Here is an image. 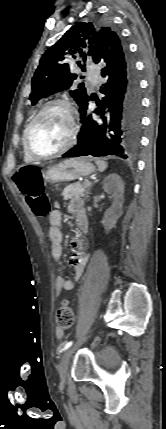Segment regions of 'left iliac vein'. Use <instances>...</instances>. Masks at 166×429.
<instances>
[{
    "instance_id": "left-iliac-vein-1",
    "label": "left iliac vein",
    "mask_w": 166,
    "mask_h": 429,
    "mask_svg": "<svg viewBox=\"0 0 166 429\" xmlns=\"http://www.w3.org/2000/svg\"><path fill=\"white\" fill-rule=\"evenodd\" d=\"M73 351H74L73 347L68 348L64 352V354L62 355V358L60 360L59 375H60V379H61L62 384H64L66 382L69 361H70V358H71Z\"/></svg>"
}]
</instances>
